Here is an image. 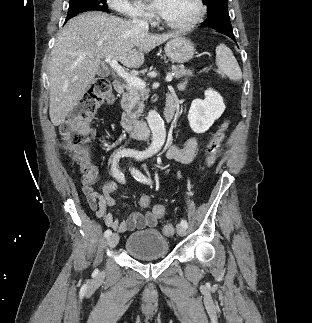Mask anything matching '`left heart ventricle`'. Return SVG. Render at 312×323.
I'll return each instance as SVG.
<instances>
[{
    "instance_id": "1",
    "label": "left heart ventricle",
    "mask_w": 312,
    "mask_h": 323,
    "mask_svg": "<svg viewBox=\"0 0 312 323\" xmlns=\"http://www.w3.org/2000/svg\"><path fill=\"white\" fill-rule=\"evenodd\" d=\"M197 7L195 0H167L163 14L174 22L176 18H186L187 14H197Z\"/></svg>"
}]
</instances>
